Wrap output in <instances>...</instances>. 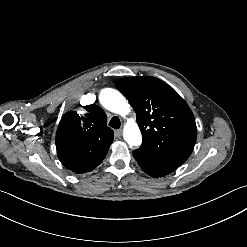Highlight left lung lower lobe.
Masks as SVG:
<instances>
[{"label": "left lung lower lobe", "mask_w": 247, "mask_h": 247, "mask_svg": "<svg viewBox=\"0 0 247 247\" xmlns=\"http://www.w3.org/2000/svg\"><path fill=\"white\" fill-rule=\"evenodd\" d=\"M133 156L142 170L152 177L168 175L180 166L163 158L157 157L141 148L133 151Z\"/></svg>", "instance_id": "left-lung-lower-lobe-1"}]
</instances>
